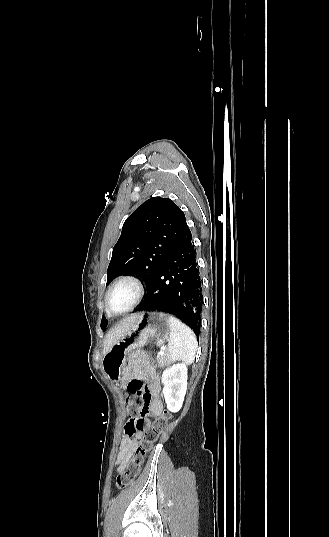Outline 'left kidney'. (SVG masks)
Returning a JSON list of instances; mask_svg holds the SVG:
<instances>
[{"mask_svg":"<svg viewBox=\"0 0 329 537\" xmlns=\"http://www.w3.org/2000/svg\"><path fill=\"white\" fill-rule=\"evenodd\" d=\"M163 395L169 411L178 412L183 404L187 390V366L184 363L173 364L162 374Z\"/></svg>","mask_w":329,"mask_h":537,"instance_id":"5707ae66","label":"left kidney"}]
</instances>
